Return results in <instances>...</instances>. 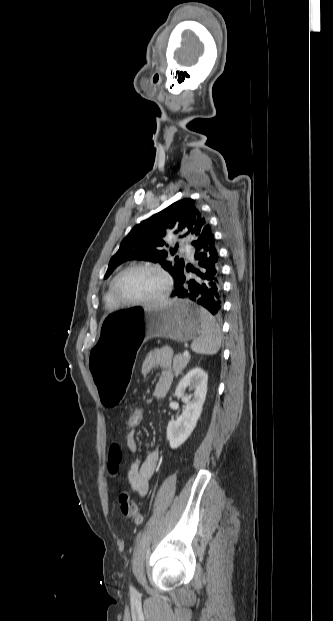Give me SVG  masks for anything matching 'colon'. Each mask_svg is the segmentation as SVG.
I'll use <instances>...</instances> for the list:
<instances>
[{
    "label": "colon",
    "instance_id": "obj_1",
    "mask_svg": "<svg viewBox=\"0 0 333 621\" xmlns=\"http://www.w3.org/2000/svg\"><path fill=\"white\" fill-rule=\"evenodd\" d=\"M143 413L139 408H133L128 411L126 420L130 427H137L142 421ZM119 505L121 513L131 519L135 524H139L142 521V517L139 513L137 504L130 499L126 492H123L119 496Z\"/></svg>",
    "mask_w": 333,
    "mask_h": 621
}]
</instances>
